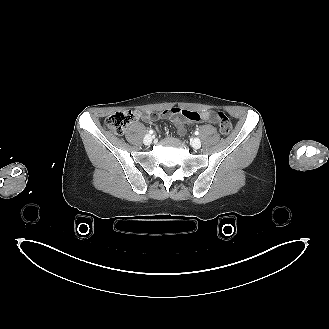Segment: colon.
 Instances as JSON below:
<instances>
[{"label": "colon", "instance_id": "obj_1", "mask_svg": "<svg viewBox=\"0 0 329 329\" xmlns=\"http://www.w3.org/2000/svg\"><path fill=\"white\" fill-rule=\"evenodd\" d=\"M137 119V114L130 110H123L112 113L104 120L103 127L105 130L114 135H121L124 133L128 125ZM219 122V129L221 134L228 135L231 132L232 124L229 118L223 113H217Z\"/></svg>", "mask_w": 329, "mask_h": 329}]
</instances>
